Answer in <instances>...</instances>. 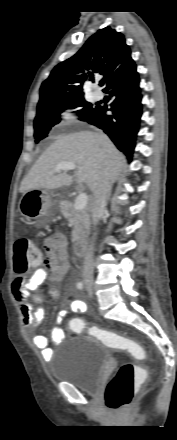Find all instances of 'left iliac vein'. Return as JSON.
<instances>
[{
  "mask_svg": "<svg viewBox=\"0 0 177 440\" xmlns=\"http://www.w3.org/2000/svg\"><path fill=\"white\" fill-rule=\"evenodd\" d=\"M89 295H90V297H92V293L91 292H89Z\"/></svg>",
  "mask_w": 177,
  "mask_h": 440,
  "instance_id": "1",
  "label": "left iliac vein"
}]
</instances>
